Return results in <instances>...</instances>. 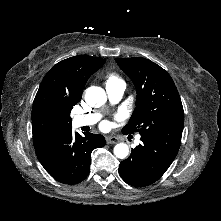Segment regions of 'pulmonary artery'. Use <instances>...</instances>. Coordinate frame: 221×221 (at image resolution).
Returning <instances> with one entry per match:
<instances>
[{
    "label": "pulmonary artery",
    "mask_w": 221,
    "mask_h": 221,
    "mask_svg": "<svg viewBox=\"0 0 221 221\" xmlns=\"http://www.w3.org/2000/svg\"><path fill=\"white\" fill-rule=\"evenodd\" d=\"M125 90V84L123 82L106 84V92L109 97L111 103H117L123 96ZM100 119V114L92 113L85 115H77L75 116L73 122L75 126H91L97 123ZM136 142H140V136L136 138Z\"/></svg>",
    "instance_id": "obj_1"
}]
</instances>
